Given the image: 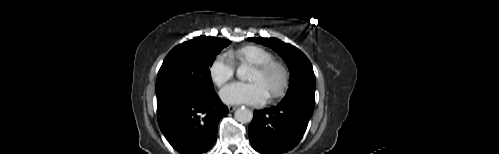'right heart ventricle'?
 I'll return each mask as SVG.
<instances>
[{
	"mask_svg": "<svg viewBox=\"0 0 499 154\" xmlns=\"http://www.w3.org/2000/svg\"><path fill=\"white\" fill-rule=\"evenodd\" d=\"M226 56L236 64L259 65L274 59L273 53L260 45H246L226 53Z\"/></svg>",
	"mask_w": 499,
	"mask_h": 154,
	"instance_id": "right-heart-ventricle-1",
	"label": "right heart ventricle"
}]
</instances>
